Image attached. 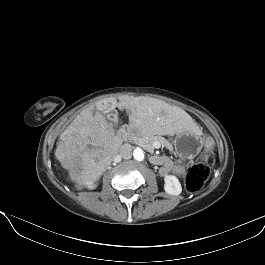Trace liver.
<instances>
[{
    "mask_svg": "<svg viewBox=\"0 0 265 265\" xmlns=\"http://www.w3.org/2000/svg\"><path fill=\"white\" fill-rule=\"evenodd\" d=\"M126 109L131 126L151 134L175 135L191 131L201 135L192 117L179 107L148 97L105 98L84 108L61 133L55 157L80 185L97 181L119 153L122 139L115 135L105 114Z\"/></svg>",
    "mask_w": 265,
    "mask_h": 265,
    "instance_id": "1",
    "label": "liver"
}]
</instances>
